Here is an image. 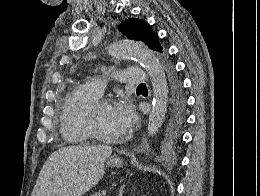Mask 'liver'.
<instances>
[{"instance_id":"obj_1","label":"liver","mask_w":260,"mask_h":196,"mask_svg":"<svg viewBox=\"0 0 260 196\" xmlns=\"http://www.w3.org/2000/svg\"><path fill=\"white\" fill-rule=\"evenodd\" d=\"M110 146H68L46 160L31 196H83L102 180Z\"/></svg>"}]
</instances>
